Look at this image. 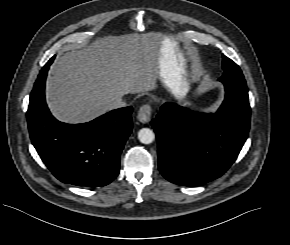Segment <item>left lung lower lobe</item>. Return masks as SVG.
Returning <instances> with one entry per match:
<instances>
[{"label": "left lung lower lobe", "mask_w": 290, "mask_h": 245, "mask_svg": "<svg viewBox=\"0 0 290 245\" xmlns=\"http://www.w3.org/2000/svg\"><path fill=\"white\" fill-rule=\"evenodd\" d=\"M225 99L215 114L173 103L151 122L158 140V166L170 182L196 186L223 175L236 160L250 127L251 109L243 75L219 78Z\"/></svg>", "instance_id": "obj_1"}]
</instances>
